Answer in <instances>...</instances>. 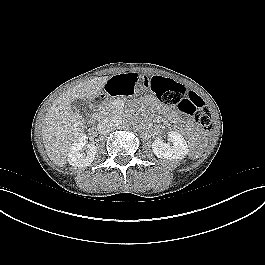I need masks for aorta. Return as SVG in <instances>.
Wrapping results in <instances>:
<instances>
[{
  "mask_svg": "<svg viewBox=\"0 0 265 265\" xmlns=\"http://www.w3.org/2000/svg\"><path fill=\"white\" fill-rule=\"evenodd\" d=\"M120 114L121 112L115 113L111 116V119H110L112 124L116 127L122 125L123 123V117Z\"/></svg>",
  "mask_w": 265,
  "mask_h": 265,
  "instance_id": "762f6f07",
  "label": "aorta"
}]
</instances>
